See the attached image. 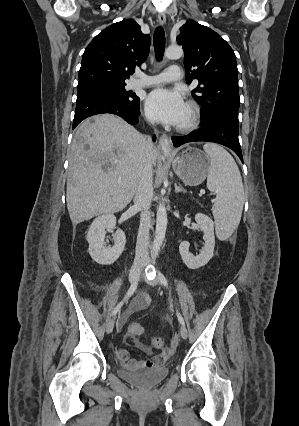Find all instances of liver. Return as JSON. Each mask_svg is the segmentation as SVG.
I'll list each match as a JSON object with an SVG mask.
<instances>
[{"instance_id": "obj_1", "label": "liver", "mask_w": 299, "mask_h": 426, "mask_svg": "<svg viewBox=\"0 0 299 426\" xmlns=\"http://www.w3.org/2000/svg\"><path fill=\"white\" fill-rule=\"evenodd\" d=\"M147 154L145 137L120 117L103 114L82 122L69 153L66 202L72 224L123 210L135 195ZM157 156L153 148L152 165Z\"/></svg>"}]
</instances>
